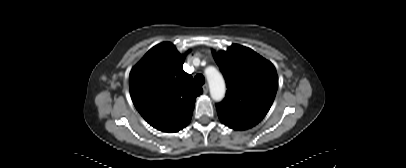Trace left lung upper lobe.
<instances>
[{"label": "left lung upper lobe", "mask_w": 406, "mask_h": 168, "mask_svg": "<svg viewBox=\"0 0 406 168\" xmlns=\"http://www.w3.org/2000/svg\"><path fill=\"white\" fill-rule=\"evenodd\" d=\"M227 83L226 98L217 112L260 122L270 109L278 88L273 64L250 48L233 44L227 51L213 52Z\"/></svg>", "instance_id": "left-lung-upper-lobe-1"}]
</instances>
